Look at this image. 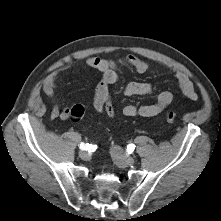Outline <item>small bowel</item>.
Listing matches in <instances>:
<instances>
[{
  "label": "small bowel",
  "instance_id": "1",
  "mask_svg": "<svg viewBox=\"0 0 221 221\" xmlns=\"http://www.w3.org/2000/svg\"><path fill=\"white\" fill-rule=\"evenodd\" d=\"M85 62L90 69L97 70L101 74V79L97 84L93 99V106L95 110L100 113H104V98L105 96L110 95V88L116 83L118 78L117 71L121 67H128L133 69L138 74H143L150 66L147 61L135 55H127L119 60H110L101 58L99 56H90L86 58ZM70 65L71 62L60 65L46 78L43 83L44 93L53 101V106L50 113L52 119L61 118L66 120L69 118L70 108L59 107L56 102V93L60 73L68 69ZM175 77L177 85L182 94L192 101L197 100V92L187 75L181 71H175ZM151 92L152 86L145 82H130L124 88V93L127 96H142L150 94ZM172 100V92L164 90L158 94L157 100L154 104L141 106L126 105L123 108L122 113L126 117H154L166 109L171 104Z\"/></svg>",
  "mask_w": 221,
  "mask_h": 221
}]
</instances>
